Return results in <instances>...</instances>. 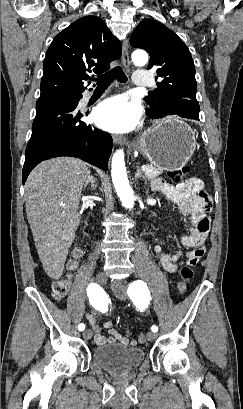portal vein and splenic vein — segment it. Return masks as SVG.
<instances>
[{
  "label": "portal vein and splenic vein",
  "instance_id": "portal-vein-and-splenic-vein-1",
  "mask_svg": "<svg viewBox=\"0 0 243 409\" xmlns=\"http://www.w3.org/2000/svg\"><path fill=\"white\" fill-rule=\"evenodd\" d=\"M141 169H142L143 171H145V170L148 169V166H147V165H143V166L141 167Z\"/></svg>",
  "mask_w": 243,
  "mask_h": 409
}]
</instances>
